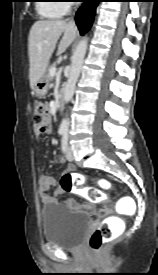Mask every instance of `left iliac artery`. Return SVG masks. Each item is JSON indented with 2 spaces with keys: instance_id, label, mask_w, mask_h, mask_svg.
<instances>
[{
  "instance_id": "1",
  "label": "left iliac artery",
  "mask_w": 158,
  "mask_h": 275,
  "mask_svg": "<svg viewBox=\"0 0 158 275\" xmlns=\"http://www.w3.org/2000/svg\"><path fill=\"white\" fill-rule=\"evenodd\" d=\"M68 146V135L67 133H63L62 139H61V147L62 151L65 152Z\"/></svg>"
}]
</instances>
